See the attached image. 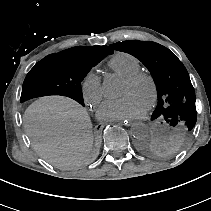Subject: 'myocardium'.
Here are the masks:
<instances>
[{"label": "myocardium", "instance_id": "f54148a6", "mask_svg": "<svg viewBox=\"0 0 211 211\" xmlns=\"http://www.w3.org/2000/svg\"><path fill=\"white\" fill-rule=\"evenodd\" d=\"M141 81H146L151 88V98L149 103L145 107L146 110L149 111L156 107L159 98L158 85L155 78L150 73L144 72L142 70L125 78V82L131 85H136Z\"/></svg>", "mask_w": 211, "mask_h": 211}]
</instances>
